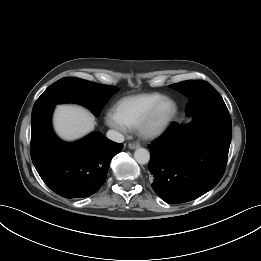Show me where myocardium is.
I'll return each instance as SVG.
<instances>
[{
	"label": "myocardium",
	"instance_id": "myocardium-1",
	"mask_svg": "<svg viewBox=\"0 0 261 261\" xmlns=\"http://www.w3.org/2000/svg\"><path fill=\"white\" fill-rule=\"evenodd\" d=\"M170 105V109L161 115L162 108ZM178 113V105L168 96L160 98L137 124V131L143 138L152 139L162 135L171 125Z\"/></svg>",
	"mask_w": 261,
	"mask_h": 261
}]
</instances>
